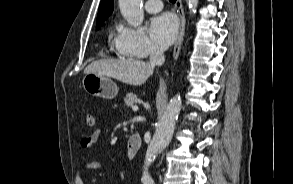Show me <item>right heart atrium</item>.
I'll use <instances>...</instances> for the list:
<instances>
[{"mask_svg":"<svg viewBox=\"0 0 293 184\" xmlns=\"http://www.w3.org/2000/svg\"><path fill=\"white\" fill-rule=\"evenodd\" d=\"M114 45L121 54L137 58L160 53V48L149 39L142 29H134L122 24L118 27Z\"/></svg>","mask_w":293,"mask_h":184,"instance_id":"right-heart-atrium-1","label":"right heart atrium"}]
</instances>
